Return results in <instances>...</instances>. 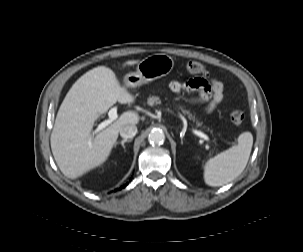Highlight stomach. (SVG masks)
<instances>
[{
	"mask_svg": "<svg viewBox=\"0 0 303 252\" xmlns=\"http://www.w3.org/2000/svg\"><path fill=\"white\" fill-rule=\"evenodd\" d=\"M173 67L174 61L169 55H150L138 63L136 72L124 76L123 85L125 88H135L168 75Z\"/></svg>",
	"mask_w": 303,
	"mask_h": 252,
	"instance_id": "0dacf381",
	"label": "stomach"
}]
</instances>
